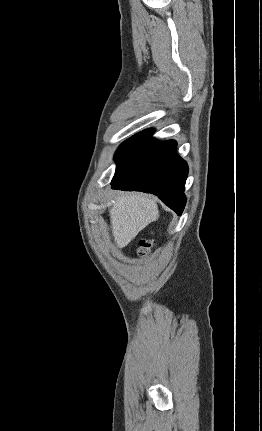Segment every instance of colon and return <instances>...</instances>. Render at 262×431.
Here are the masks:
<instances>
[{"instance_id":"5ec220e1","label":"colon","mask_w":262,"mask_h":431,"mask_svg":"<svg viewBox=\"0 0 262 431\" xmlns=\"http://www.w3.org/2000/svg\"><path fill=\"white\" fill-rule=\"evenodd\" d=\"M149 240H147V239H142L141 241H140V243H139V247H138V250H137V253H138V255L139 256H145L146 254H147V252H148V249H149Z\"/></svg>"}]
</instances>
